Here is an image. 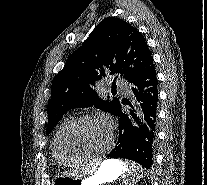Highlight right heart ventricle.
<instances>
[{"mask_svg": "<svg viewBox=\"0 0 207 185\" xmlns=\"http://www.w3.org/2000/svg\"><path fill=\"white\" fill-rule=\"evenodd\" d=\"M73 120V117H68L60 124L52 142L53 156L56 162L62 166L76 165L88 159L87 157H78L72 155L65 145V134Z\"/></svg>", "mask_w": 207, "mask_h": 185, "instance_id": "e07e8e85", "label": "right heart ventricle"}]
</instances>
